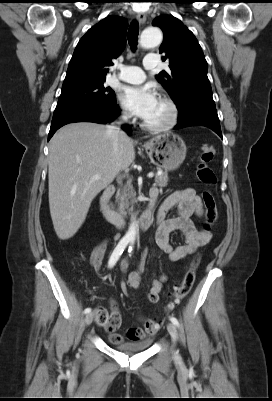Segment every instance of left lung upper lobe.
<instances>
[{"instance_id":"1","label":"left lung upper lobe","mask_w":272,"mask_h":401,"mask_svg":"<svg viewBox=\"0 0 272 401\" xmlns=\"http://www.w3.org/2000/svg\"><path fill=\"white\" fill-rule=\"evenodd\" d=\"M152 24L164 33L160 53L162 60L169 62L171 70L170 73L162 71L156 78L178 110L191 102H214L207 77L208 64L193 33L172 15L158 16Z\"/></svg>"}]
</instances>
